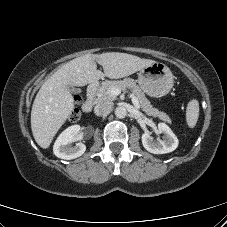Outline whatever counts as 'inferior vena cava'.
Returning a JSON list of instances; mask_svg holds the SVG:
<instances>
[{
	"label": "inferior vena cava",
	"instance_id": "1",
	"mask_svg": "<svg viewBox=\"0 0 227 227\" xmlns=\"http://www.w3.org/2000/svg\"><path fill=\"white\" fill-rule=\"evenodd\" d=\"M113 103L111 101L105 100L100 101L94 108V112L97 116L106 115L112 108Z\"/></svg>",
	"mask_w": 227,
	"mask_h": 227
}]
</instances>
